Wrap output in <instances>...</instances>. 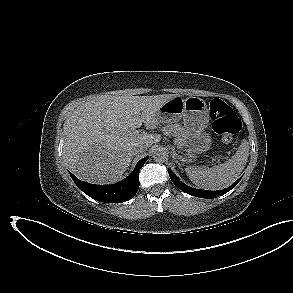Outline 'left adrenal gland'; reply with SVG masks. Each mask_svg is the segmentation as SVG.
I'll use <instances>...</instances> for the list:
<instances>
[{
  "label": "left adrenal gland",
  "mask_w": 293,
  "mask_h": 293,
  "mask_svg": "<svg viewBox=\"0 0 293 293\" xmlns=\"http://www.w3.org/2000/svg\"><path fill=\"white\" fill-rule=\"evenodd\" d=\"M172 157H173L174 161H175V162L179 165V167H180L181 165H180V163L176 160V154H175V153H173V156H172Z\"/></svg>",
  "instance_id": "left-adrenal-gland-1"
}]
</instances>
